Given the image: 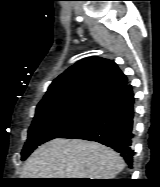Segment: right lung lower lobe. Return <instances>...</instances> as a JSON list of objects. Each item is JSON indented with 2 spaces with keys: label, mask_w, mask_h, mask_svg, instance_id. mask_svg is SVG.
Returning <instances> with one entry per match:
<instances>
[{
  "label": "right lung lower lobe",
  "mask_w": 160,
  "mask_h": 187,
  "mask_svg": "<svg viewBox=\"0 0 160 187\" xmlns=\"http://www.w3.org/2000/svg\"><path fill=\"white\" fill-rule=\"evenodd\" d=\"M134 94L127 83L96 102L92 110L58 138H77L99 142L124 158L132 167Z\"/></svg>",
  "instance_id": "98d812e1"
}]
</instances>
